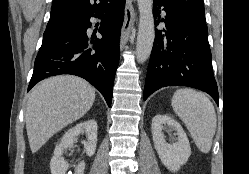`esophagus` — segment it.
<instances>
[{
  "mask_svg": "<svg viewBox=\"0 0 249 174\" xmlns=\"http://www.w3.org/2000/svg\"><path fill=\"white\" fill-rule=\"evenodd\" d=\"M135 17H136V12L134 8L129 4V2H127L126 7H125V18H124L123 26L121 29V38H120L121 49L124 48L128 39L131 36V32H132L133 25L135 22Z\"/></svg>",
  "mask_w": 249,
  "mask_h": 174,
  "instance_id": "34e87169",
  "label": "esophagus"
}]
</instances>
